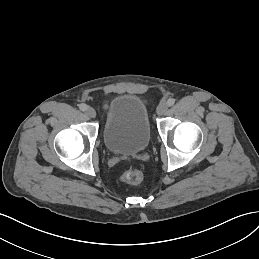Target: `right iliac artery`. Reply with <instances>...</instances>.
Wrapping results in <instances>:
<instances>
[{
	"mask_svg": "<svg viewBox=\"0 0 259 259\" xmlns=\"http://www.w3.org/2000/svg\"><path fill=\"white\" fill-rule=\"evenodd\" d=\"M79 109H80L81 111H86L87 105L84 104V103H82V104L79 105Z\"/></svg>",
	"mask_w": 259,
	"mask_h": 259,
	"instance_id": "82829eb1",
	"label": "right iliac artery"
}]
</instances>
